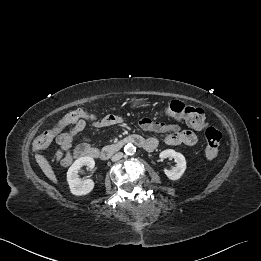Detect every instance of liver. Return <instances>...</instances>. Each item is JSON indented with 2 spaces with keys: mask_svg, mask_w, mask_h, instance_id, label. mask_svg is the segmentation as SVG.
Here are the masks:
<instances>
[{
  "mask_svg": "<svg viewBox=\"0 0 261 261\" xmlns=\"http://www.w3.org/2000/svg\"><path fill=\"white\" fill-rule=\"evenodd\" d=\"M36 161L38 163V165L40 166V168L42 169V171L44 172V174L54 183H57L58 180L56 178V175L51 167V165L49 164V162L47 161V159L40 154H36L35 155Z\"/></svg>",
  "mask_w": 261,
  "mask_h": 261,
  "instance_id": "liver-1",
  "label": "liver"
}]
</instances>
